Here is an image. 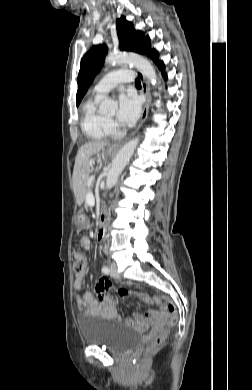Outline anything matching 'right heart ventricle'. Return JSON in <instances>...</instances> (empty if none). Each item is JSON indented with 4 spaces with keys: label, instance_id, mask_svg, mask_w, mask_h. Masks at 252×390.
<instances>
[{
    "label": "right heart ventricle",
    "instance_id": "right-heart-ventricle-1",
    "mask_svg": "<svg viewBox=\"0 0 252 390\" xmlns=\"http://www.w3.org/2000/svg\"><path fill=\"white\" fill-rule=\"evenodd\" d=\"M98 97L85 101L82 107V131L92 140H104L111 135L109 120L97 109Z\"/></svg>",
    "mask_w": 252,
    "mask_h": 390
}]
</instances>
